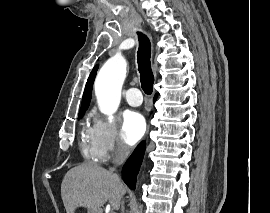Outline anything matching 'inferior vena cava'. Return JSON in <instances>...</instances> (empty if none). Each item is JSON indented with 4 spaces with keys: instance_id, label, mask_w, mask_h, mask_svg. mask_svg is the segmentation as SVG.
I'll use <instances>...</instances> for the list:
<instances>
[{
    "instance_id": "602c4592",
    "label": "inferior vena cava",
    "mask_w": 270,
    "mask_h": 213,
    "mask_svg": "<svg viewBox=\"0 0 270 213\" xmlns=\"http://www.w3.org/2000/svg\"><path fill=\"white\" fill-rule=\"evenodd\" d=\"M129 153L130 148L128 146L124 144H119L116 157L113 161L115 166L121 165L126 160ZM109 171L114 174L113 172L115 171V167L110 168ZM114 175L117 176V174ZM122 213H124V206H122Z\"/></svg>"
}]
</instances>
